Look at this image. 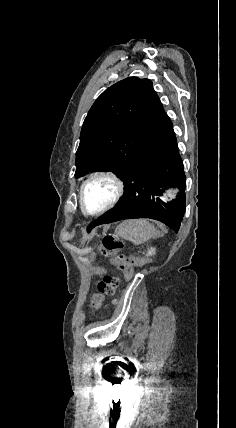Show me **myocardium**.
Masks as SVG:
<instances>
[{"instance_id": "obj_1", "label": "myocardium", "mask_w": 236, "mask_h": 428, "mask_svg": "<svg viewBox=\"0 0 236 428\" xmlns=\"http://www.w3.org/2000/svg\"><path fill=\"white\" fill-rule=\"evenodd\" d=\"M97 180H107L114 186L112 198L102 207L96 210H89L85 203V190L89 184ZM126 191V184L119 174L111 170L97 171L88 176L81 184L79 189V203L82 211L88 215L95 216L103 214L114 208Z\"/></svg>"}]
</instances>
